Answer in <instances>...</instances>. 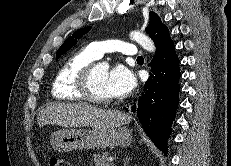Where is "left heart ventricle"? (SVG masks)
<instances>
[{
    "label": "left heart ventricle",
    "mask_w": 231,
    "mask_h": 166,
    "mask_svg": "<svg viewBox=\"0 0 231 166\" xmlns=\"http://www.w3.org/2000/svg\"><path fill=\"white\" fill-rule=\"evenodd\" d=\"M108 70L102 65H98L93 75V86L95 92L104 97H112L108 92L106 81H107Z\"/></svg>",
    "instance_id": "left-heart-ventricle-1"
}]
</instances>
